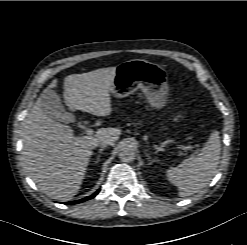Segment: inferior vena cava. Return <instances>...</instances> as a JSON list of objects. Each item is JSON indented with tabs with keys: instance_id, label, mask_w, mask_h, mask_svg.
Returning <instances> with one entry per match:
<instances>
[{
	"instance_id": "1",
	"label": "inferior vena cava",
	"mask_w": 247,
	"mask_h": 245,
	"mask_svg": "<svg viewBox=\"0 0 247 245\" xmlns=\"http://www.w3.org/2000/svg\"><path fill=\"white\" fill-rule=\"evenodd\" d=\"M99 144L101 145V147L105 148L109 145H112V142L109 139H104L100 141Z\"/></svg>"
}]
</instances>
